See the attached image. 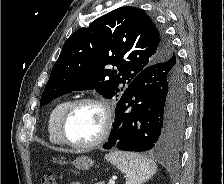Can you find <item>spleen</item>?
Instances as JSON below:
<instances>
[{
  "mask_svg": "<svg viewBox=\"0 0 224 184\" xmlns=\"http://www.w3.org/2000/svg\"><path fill=\"white\" fill-rule=\"evenodd\" d=\"M105 159L125 174L126 184H143L157 170V165L153 160L137 153L115 151L106 154Z\"/></svg>",
  "mask_w": 224,
  "mask_h": 184,
  "instance_id": "1",
  "label": "spleen"
}]
</instances>
